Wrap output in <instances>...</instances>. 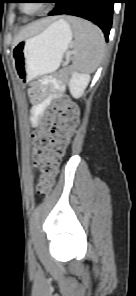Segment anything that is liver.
I'll use <instances>...</instances> for the list:
<instances>
[{"label": "liver", "instance_id": "6515ba94", "mask_svg": "<svg viewBox=\"0 0 136 296\" xmlns=\"http://www.w3.org/2000/svg\"><path fill=\"white\" fill-rule=\"evenodd\" d=\"M50 21L51 19H44L25 26L23 29H21L18 36L16 37L15 43L38 33L44 26L50 23Z\"/></svg>", "mask_w": 136, "mask_h": 296}]
</instances>
